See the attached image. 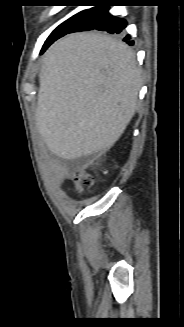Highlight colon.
Wrapping results in <instances>:
<instances>
[{
  "instance_id": "1",
  "label": "colon",
  "mask_w": 184,
  "mask_h": 327,
  "mask_svg": "<svg viewBox=\"0 0 184 327\" xmlns=\"http://www.w3.org/2000/svg\"><path fill=\"white\" fill-rule=\"evenodd\" d=\"M93 181V176L86 171L78 172L75 175V185L79 192H83L84 190L90 188Z\"/></svg>"
}]
</instances>
